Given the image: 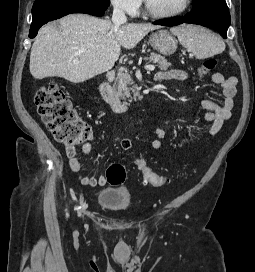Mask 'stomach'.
<instances>
[{
    "instance_id": "1",
    "label": "stomach",
    "mask_w": 255,
    "mask_h": 272,
    "mask_svg": "<svg viewBox=\"0 0 255 272\" xmlns=\"http://www.w3.org/2000/svg\"><path fill=\"white\" fill-rule=\"evenodd\" d=\"M150 45L162 55H172L177 49V40L167 30H159L149 37Z\"/></svg>"
}]
</instances>
